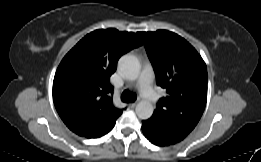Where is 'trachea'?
Here are the masks:
<instances>
[{
	"label": "trachea",
	"instance_id": "3493384b",
	"mask_svg": "<svg viewBox=\"0 0 261 162\" xmlns=\"http://www.w3.org/2000/svg\"><path fill=\"white\" fill-rule=\"evenodd\" d=\"M136 95L128 90L123 91L121 99L123 102H134L136 100Z\"/></svg>",
	"mask_w": 261,
	"mask_h": 162
}]
</instances>
